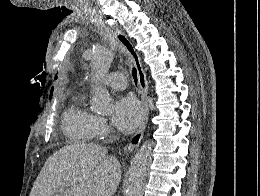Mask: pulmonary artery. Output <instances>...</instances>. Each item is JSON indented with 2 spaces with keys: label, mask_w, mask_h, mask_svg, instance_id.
Masks as SVG:
<instances>
[{
  "label": "pulmonary artery",
  "mask_w": 260,
  "mask_h": 196,
  "mask_svg": "<svg viewBox=\"0 0 260 196\" xmlns=\"http://www.w3.org/2000/svg\"><path fill=\"white\" fill-rule=\"evenodd\" d=\"M125 72H112L111 79H100V84H123ZM102 90H127V85H102Z\"/></svg>",
  "instance_id": "obj_1"
}]
</instances>
